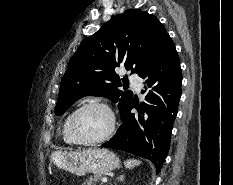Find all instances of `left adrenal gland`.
Instances as JSON below:
<instances>
[{"mask_svg": "<svg viewBox=\"0 0 233 185\" xmlns=\"http://www.w3.org/2000/svg\"><path fill=\"white\" fill-rule=\"evenodd\" d=\"M118 180H123V176H120V177L118 178Z\"/></svg>", "mask_w": 233, "mask_h": 185, "instance_id": "obj_1", "label": "left adrenal gland"}]
</instances>
